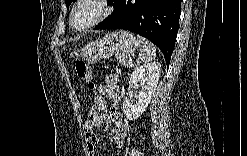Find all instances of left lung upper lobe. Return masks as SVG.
Instances as JSON below:
<instances>
[{
	"instance_id": "1",
	"label": "left lung upper lobe",
	"mask_w": 247,
	"mask_h": 156,
	"mask_svg": "<svg viewBox=\"0 0 247 156\" xmlns=\"http://www.w3.org/2000/svg\"><path fill=\"white\" fill-rule=\"evenodd\" d=\"M73 0H65L66 6H69L72 3ZM118 0L113 1V5L115 6Z\"/></svg>"
}]
</instances>
